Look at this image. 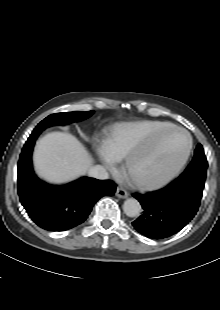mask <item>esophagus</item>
Listing matches in <instances>:
<instances>
[{
  "mask_svg": "<svg viewBox=\"0 0 220 310\" xmlns=\"http://www.w3.org/2000/svg\"><path fill=\"white\" fill-rule=\"evenodd\" d=\"M115 194L119 198H127L129 196V193L122 187H118Z\"/></svg>",
  "mask_w": 220,
  "mask_h": 310,
  "instance_id": "esophagus-1",
  "label": "esophagus"
}]
</instances>
